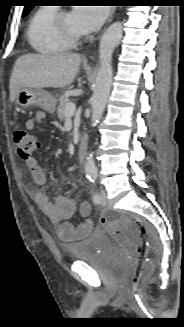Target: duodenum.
Returning a JSON list of instances; mask_svg holds the SVG:
<instances>
[{"label": "duodenum", "mask_w": 184, "mask_h": 327, "mask_svg": "<svg viewBox=\"0 0 184 327\" xmlns=\"http://www.w3.org/2000/svg\"><path fill=\"white\" fill-rule=\"evenodd\" d=\"M87 147H88V140L87 138L83 137L81 140H80V143L78 145V158L80 160L81 163L84 162L85 160V157H86V152H87Z\"/></svg>", "instance_id": "duodenum-1"}]
</instances>
